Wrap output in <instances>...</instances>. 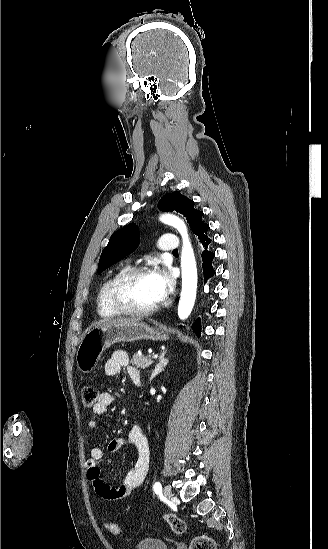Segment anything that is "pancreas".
I'll return each instance as SVG.
<instances>
[{"mask_svg": "<svg viewBox=\"0 0 328 549\" xmlns=\"http://www.w3.org/2000/svg\"><path fill=\"white\" fill-rule=\"evenodd\" d=\"M152 363L151 357H143V355H138V353H135L131 359V365H135L136 369H147Z\"/></svg>", "mask_w": 328, "mask_h": 549, "instance_id": "pancreas-1", "label": "pancreas"}]
</instances>
